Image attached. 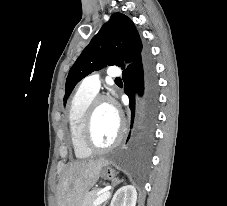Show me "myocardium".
<instances>
[{"instance_id":"f54148a6","label":"myocardium","mask_w":227,"mask_h":206,"mask_svg":"<svg viewBox=\"0 0 227 206\" xmlns=\"http://www.w3.org/2000/svg\"><path fill=\"white\" fill-rule=\"evenodd\" d=\"M109 99L106 96H95V98L88 105L84 114L82 122L81 138L83 145L94 153H103L116 147L121 141L123 135V123L118 117V130L117 134L111 144L107 146H99L96 144L93 138V125L96 111L102 103H108Z\"/></svg>"}]
</instances>
